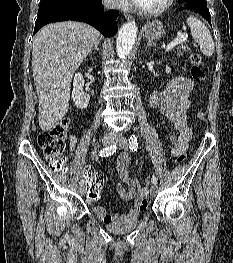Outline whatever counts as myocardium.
Wrapping results in <instances>:
<instances>
[{"label": "myocardium", "mask_w": 233, "mask_h": 263, "mask_svg": "<svg viewBox=\"0 0 233 263\" xmlns=\"http://www.w3.org/2000/svg\"><path fill=\"white\" fill-rule=\"evenodd\" d=\"M175 0H166L165 3L155 9H146V8H142L139 5L135 4V9L142 15H146V16H157L160 15L164 12H166L174 3Z\"/></svg>", "instance_id": "f54148a6"}]
</instances>
